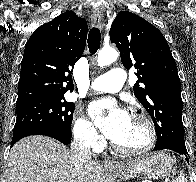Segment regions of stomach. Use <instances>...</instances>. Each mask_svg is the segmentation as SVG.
<instances>
[{"label": "stomach", "mask_w": 196, "mask_h": 182, "mask_svg": "<svg viewBox=\"0 0 196 182\" xmlns=\"http://www.w3.org/2000/svg\"><path fill=\"white\" fill-rule=\"evenodd\" d=\"M172 159L165 153L156 152L145 157L126 162L118 168L109 169L122 179L145 175L151 178H164L172 169Z\"/></svg>", "instance_id": "obj_1"}]
</instances>
